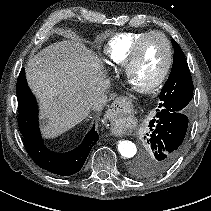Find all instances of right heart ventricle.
Returning <instances> with one entry per match:
<instances>
[{
  "mask_svg": "<svg viewBox=\"0 0 211 211\" xmlns=\"http://www.w3.org/2000/svg\"><path fill=\"white\" fill-rule=\"evenodd\" d=\"M147 32H124L113 36L104 48L107 62L113 66L124 67L134 44Z\"/></svg>",
  "mask_w": 211,
  "mask_h": 211,
  "instance_id": "e07e8e85",
  "label": "right heart ventricle"
}]
</instances>
